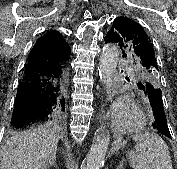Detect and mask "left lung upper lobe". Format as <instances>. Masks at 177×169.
Listing matches in <instances>:
<instances>
[{
	"instance_id": "1",
	"label": "left lung upper lobe",
	"mask_w": 177,
	"mask_h": 169,
	"mask_svg": "<svg viewBox=\"0 0 177 169\" xmlns=\"http://www.w3.org/2000/svg\"><path fill=\"white\" fill-rule=\"evenodd\" d=\"M105 41L118 43L123 57L132 58L140 66L144 81L159 88V67L153 44L143 27L136 21L120 16L114 20ZM141 83H138L140 88Z\"/></svg>"
}]
</instances>
